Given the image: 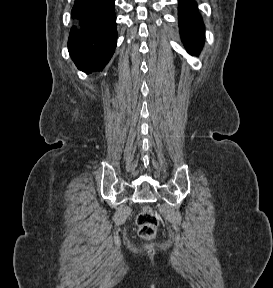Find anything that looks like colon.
Listing matches in <instances>:
<instances>
[{
  "label": "colon",
  "mask_w": 273,
  "mask_h": 288,
  "mask_svg": "<svg viewBox=\"0 0 273 288\" xmlns=\"http://www.w3.org/2000/svg\"><path fill=\"white\" fill-rule=\"evenodd\" d=\"M138 234L141 238L150 240L155 237L158 226L157 215L150 207H143L137 216Z\"/></svg>",
  "instance_id": "colon-1"
}]
</instances>
